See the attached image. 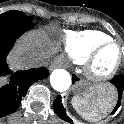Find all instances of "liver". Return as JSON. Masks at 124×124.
Masks as SVG:
<instances>
[{
  "mask_svg": "<svg viewBox=\"0 0 124 124\" xmlns=\"http://www.w3.org/2000/svg\"><path fill=\"white\" fill-rule=\"evenodd\" d=\"M49 35L46 31H34L21 38L12 56V65L22 68L30 63L29 57L33 55L44 60L52 52Z\"/></svg>",
  "mask_w": 124,
  "mask_h": 124,
  "instance_id": "1",
  "label": "liver"
}]
</instances>
